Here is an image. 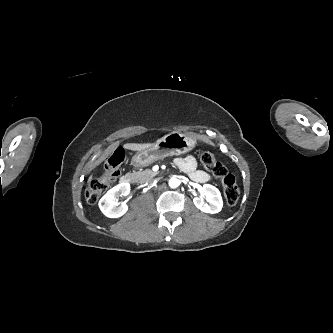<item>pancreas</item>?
Masks as SVG:
<instances>
[{"label": "pancreas", "mask_w": 333, "mask_h": 333, "mask_svg": "<svg viewBox=\"0 0 333 333\" xmlns=\"http://www.w3.org/2000/svg\"><path fill=\"white\" fill-rule=\"evenodd\" d=\"M157 172L152 171L151 169H145L135 173L136 181L139 183H150L152 179L157 175Z\"/></svg>", "instance_id": "cf45deb5"}]
</instances>
